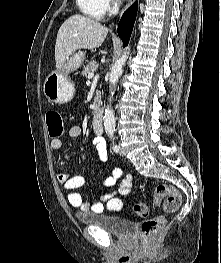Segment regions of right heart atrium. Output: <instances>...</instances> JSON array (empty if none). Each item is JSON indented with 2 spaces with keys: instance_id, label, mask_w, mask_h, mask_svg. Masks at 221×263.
<instances>
[{
  "instance_id": "1",
  "label": "right heart atrium",
  "mask_w": 221,
  "mask_h": 263,
  "mask_svg": "<svg viewBox=\"0 0 221 263\" xmlns=\"http://www.w3.org/2000/svg\"><path fill=\"white\" fill-rule=\"evenodd\" d=\"M105 11L112 12L117 8L116 0H102Z\"/></svg>"
}]
</instances>
